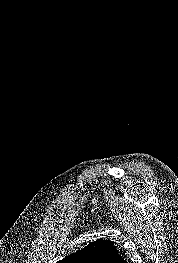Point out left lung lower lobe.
I'll return each instance as SVG.
<instances>
[{
  "label": "left lung lower lobe",
  "instance_id": "left-lung-lower-lobe-1",
  "mask_svg": "<svg viewBox=\"0 0 178 263\" xmlns=\"http://www.w3.org/2000/svg\"><path fill=\"white\" fill-rule=\"evenodd\" d=\"M111 263H127V261L122 257V256H118L116 258H114Z\"/></svg>",
  "mask_w": 178,
  "mask_h": 263
}]
</instances>
